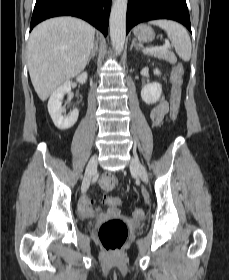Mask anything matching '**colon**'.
Instances as JSON below:
<instances>
[{
    "instance_id": "obj_1",
    "label": "colon",
    "mask_w": 229,
    "mask_h": 280,
    "mask_svg": "<svg viewBox=\"0 0 229 280\" xmlns=\"http://www.w3.org/2000/svg\"><path fill=\"white\" fill-rule=\"evenodd\" d=\"M184 72L181 66H176L173 69L172 77H171V83H172V89H171V96H170V120L172 122L176 121L179 112H180V106H181V91L180 86L182 83ZM118 184V179L114 175L111 174H105L101 181L100 185L105 189H111L115 187ZM114 203L119 206L121 204V200L117 198ZM134 215L136 217H142L144 215V212L136 208L134 210ZM128 237V228L126 223L118 218L110 219L106 222H104L99 230H98V238L103 245V247L112 253H117L121 251L124 243L126 242Z\"/></svg>"
}]
</instances>
